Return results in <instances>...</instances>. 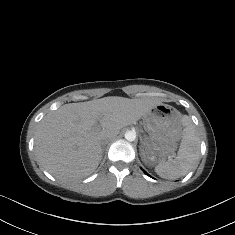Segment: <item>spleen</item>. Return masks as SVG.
<instances>
[{
  "label": "spleen",
  "instance_id": "3e777b00",
  "mask_svg": "<svg viewBox=\"0 0 235 235\" xmlns=\"http://www.w3.org/2000/svg\"><path fill=\"white\" fill-rule=\"evenodd\" d=\"M183 139L177 157L157 164L154 172L163 179H177L197 167L200 157V140L196 127L188 116L183 117Z\"/></svg>",
  "mask_w": 235,
  "mask_h": 235
}]
</instances>
